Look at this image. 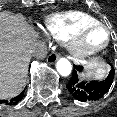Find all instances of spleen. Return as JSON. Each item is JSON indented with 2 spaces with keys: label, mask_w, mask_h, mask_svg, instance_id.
<instances>
[{
  "label": "spleen",
  "mask_w": 117,
  "mask_h": 117,
  "mask_svg": "<svg viewBox=\"0 0 117 117\" xmlns=\"http://www.w3.org/2000/svg\"><path fill=\"white\" fill-rule=\"evenodd\" d=\"M89 76H94L95 79H102L107 73V65L104 62L98 61L97 59H92L86 65Z\"/></svg>",
  "instance_id": "3e777b00"
}]
</instances>
